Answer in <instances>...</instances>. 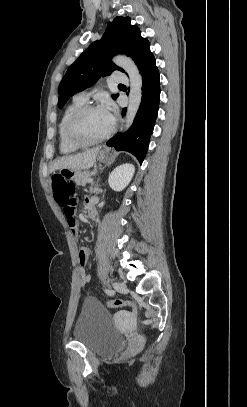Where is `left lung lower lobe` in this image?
<instances>
[{
    "mask_svg": "<svg viewBox=\"0 0 247 407\" xmlns=\"http://www.w3.org/2000/svg\"><path fill=\"white\" fill-rule=\"evenodd\" d=\"M142 75V99L139 110L130 129L124 134H116L107 145L118 151H128L142 162L153 132L159 108L160 81L156 61L151 52L137 65ZM126 109L122 110L124 115Z\"/></svg>",
    "mask_w": 247,
    "mask_h": 407,
    "instance_id": "left-lung-lower-lobe-1",
    "label": "left lung lower lobe"
}]
</instances>
